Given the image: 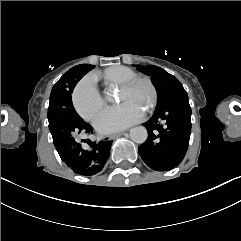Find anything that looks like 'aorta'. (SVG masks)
I'll use <instances>...</instances> for the list:
<instances>
[{
    "instance_id": "1",
    "label": "aorta",
    "mask_w": 241,
    "mask_h": 241,
    "mask_svg": "<svg viewBox=\"0 0 241 241\" xmlns=\"http://www.w3.org/2000/svg\"><path fill=\"white\" fill-rule=\"evenodd\" d=\"M106 99L108 101H113V90L107 89L106 92ZM148 132L144 126H137L130 130V138L135 143H144L147 140Z\"/></svg>"
}]
</instances>
